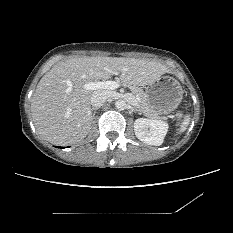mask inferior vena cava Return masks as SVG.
Here are the masks:
<instances>
[{
    "label": "inferior vena cava",
    "mask_w": 233,
    "mask_h": 233,
    "mask_svg": "<svg viewBox=\"0 0 233 233\" xmlns=\"http://www.w3.org/2000/svg\"><path fill=\"white\" fill-rule=\"evenodd\" d=\"M109 97L110 93L107 90L94 91L91 96V105L97 108L101 107Z\"/></svg>",
    "instance_id": "obj_1"
}]
</instances>
